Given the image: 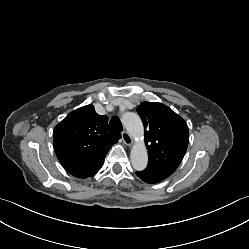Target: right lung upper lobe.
Returning <instances> with one entry per match:
<instances>
[{"label": "right lung upper lobe", "instance_id": "obj_1", "mask_svg": "<svg viewBox=\"0 0 249 249\" xmlns=\"http://www.w3.org/2000/svg\"><path fill=\"white\" fill-rule=\"evenodd\" d=\"M107 123L108 117L98 115L90 104L69 113L55 127L54 150L68 173L87 178L100 170L109 148L121 137Z\"/></svg>", "mask_w": 249, "mask_h": 249}]
</instances>
